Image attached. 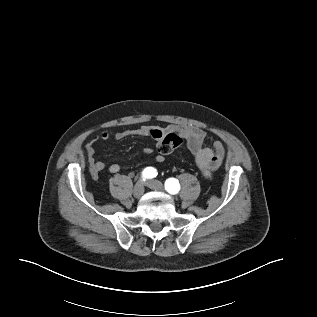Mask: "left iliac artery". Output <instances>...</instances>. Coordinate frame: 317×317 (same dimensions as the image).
<instances>
[{"label": "left iliac artery", "mask_w": 317, "mask_h": 317, "mask_svg": "<svg viewBox=\"0 0 317 317\" xmlns=\"http://www.w3.org/2000/svg\"><path fill=\"white\" fill-rule=\"evenodd\" d=\"M165 189L170 194H176L180 190V184L179 181L175 178H169L165 181Z\"/></svg>", "instance_id": "44dca946"}]
</instances>
